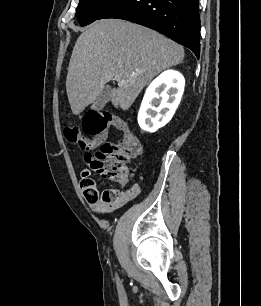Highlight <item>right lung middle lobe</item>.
Instances as JSON below:
<instances>
[{
    "instance_id": "right-lung-middle-lobe-1",
    "label": "right lung middle lobe",
    "mask_w": 261,
    "mask_h": 306,
    "mask_svg": "<svg viewBox=\"0 0 261 306\" xmlns=\"http://www.w3.org/2000/svg\"><path fill=\"white\" fill-rule=\"evenodd\" d=\"M116 0H80L76 17L80 25H88L97 20Z\"/></svg>"
}]
</instances>
